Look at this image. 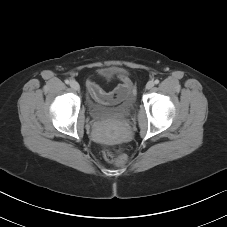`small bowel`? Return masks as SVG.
Wrapping results in <instances>:
<instances>
[{
  "label": "small bowel",
  "instance_id": "small-bowel-1",
  "mask_svg": "<svg viewBox=\"0 0 227 227\" xmlns=\"http://www.w3.org/2000/svg\"><path fill=\"white\" fill-rule=\"evenodd\" d=\"M102 74L106 77L116 75L120 81L118 86L111 92H105L97 83L92 80L87 81V88L91 98L101 103H117L121 101L129 92H132V83L128 75L113 68L105 69Z\"/></svg>",
  "mask_w": 227,
  "mask_h": 227
}]
</instances>
